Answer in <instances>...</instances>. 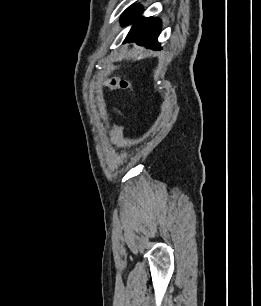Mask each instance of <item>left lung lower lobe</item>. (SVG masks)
<instances>
[{"label":"left lung lower lobe","instance_id":"1","mask_svg":"<svg viewBox=\"0 0 261 306\" xmlns=\"http://www.w3.org/2000/svg\"><path fill=\"white\" fill-rule=\"evenodd\" d=\"M141 11V6L134 5L128 8L121 16L122 25L133 23V26L124 40V43L135 42L138 45L160 50L157 38L161 30V22L157 18L140 17L139 15Z\"/></svg>","mask_w":261,"mask_h":306}]
</instances>
